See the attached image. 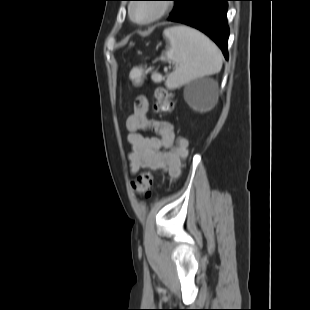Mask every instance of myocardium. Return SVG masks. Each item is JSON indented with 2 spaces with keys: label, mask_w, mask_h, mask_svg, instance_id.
Returning <instances> with one entry per match:
<instances>
[{
  "label": "myocardium",
  "mask_w": 310,
  "mask_h": 310,
  "mask_svg": "<svg viewBox=\"0 0 310 310\" xmlns=\"http://www.w3.org/2000/svg\"><path fill=\"white\" fill-rule=\"evenodd\" d=\"M138 5L139 4H131L129 6V16L134 23L139 24V25H148V24H152L154 22H157L162 17H164L166 15V13L169 11V7L165 2H156V3H154L156 10H155V13L153 15H151L150 17H147L145 19H137L134 15V9Z\"/></svg>",
  "instance_id": "1"
}]
</instances>
